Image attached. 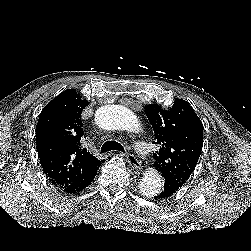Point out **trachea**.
Listing matches in <instances>:
<instances>
[{"label":"trachea","instance_id":"obj_1","mask_svg":"<svg viewBox=\"0 0 251 251\" xmlns=\"http://www.w3.org/2000/svg\"><path fill=\"white\" fill-rule=\"evenodd\" d=\"M111 150L125 152L123 146L114 140L105 142L101 147V153H105Z\"/></svg>","mask_w":251,"mask_h":251}]
</instances>
